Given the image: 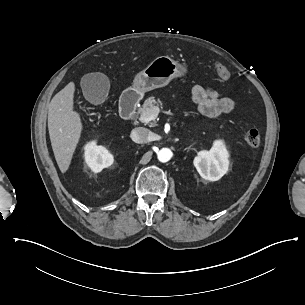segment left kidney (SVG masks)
Listing matches in <instances>:
<instances>
[{
  "label": "left kidney",
  "instance_id": "5707ae66",
  "mask_svg": "<svg viewBox=\"0 0 305 305\" xmlns=\"http://www.w3.org/2000/svg\"><path fill=\"white\" fill-rule=\"evenodd\" d=\"M194 166L203 179L219 180L228 169L227 153L225 148L221 146V142H217L209 153L200 152L195 158Z\"/></svg>",
  "mask_w": 305,
  "mask_h": 305
}]
</instances>
